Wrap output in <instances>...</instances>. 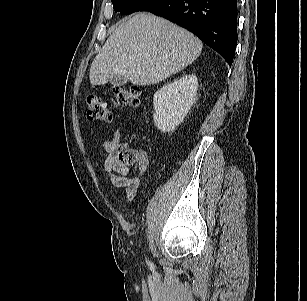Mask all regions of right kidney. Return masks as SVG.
I'll return each mask as SVG.
<instances>
[{
  "label": "right kidney",
  "instance_id": "1",
  "mask_svg": "<svg viewBox=\"0 0 307 301\" xmlns=\"http://www.w3.org/2000/svg\"><path fill=\"white\" fill-rule=\"evenodd\" d=\"M198 90V78L184 75L171 84L164 85L153 98V120L163 132H172L190 110Z\"/></svg>",
  "mask_w": 307,
  "mask_h": 301
}]
</instances>
